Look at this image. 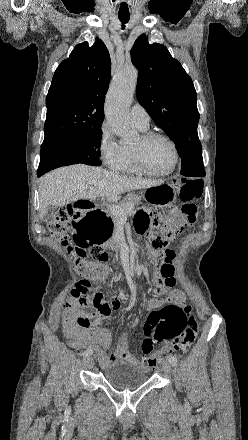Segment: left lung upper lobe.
<instances>
[{
	"mask_svg": "<svg viewBox=\"0 0 248 440\" xmlns=\"http://www.w3.org/2000/svg\"><path fill=\"white\" fill-rule=\"evenodd\" d=\"M131 60L138 69V101L174 140L182 158L181 174L204 176L197 94L191 78L165 46L149 44L145 34L135 41Z\"/></svg>",
	"mask_w": 248,
	"mask_h": 440,
	"instance_id": "left-lung-upper-lobe-1",
	"label": "left lung upper lobe"
}]
</instances>
